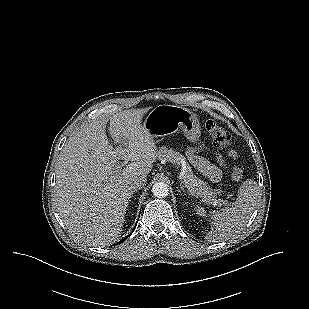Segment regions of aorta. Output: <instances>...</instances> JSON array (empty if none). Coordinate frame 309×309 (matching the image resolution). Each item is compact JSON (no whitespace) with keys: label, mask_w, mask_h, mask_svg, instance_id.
Returning <instances> with one entry per match:
<instances>
[{"label":"aorta","mask_w":309,"mask_h":309,"mask_svg":"<svg viewBox=\"0 0 309 309\" xmlns=\"http://www.w3.org/2000/svg\"><path fill=\"white\" fill-rule=\"evenodd\" d=\"M152 193L157 198H164L169 194V186L164 182H156L152 187Z\"/></svg>","instance_id":"aorta-1"}]
</instances>
